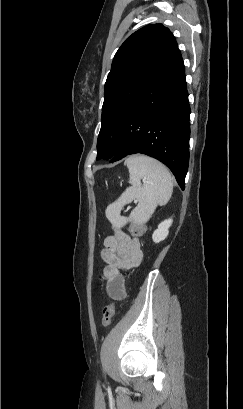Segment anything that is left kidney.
I'll return each instance as SVG.
<instances>
[{"instance_id": "1", "label": "left kidney", "mask_w": 243, "mask_h": 409, "mask_svg": "<svg viewBox=\"0 0 243 409\" xmlns=\"http://www.w3.org/2000/svg\"><path fill=\"white\" fill-rule=\"evenodd\" d=\"M173 220L167 219L158 225V228L153 232L152 239L155 243H159L164 240L169 234V227L172 225Z\"/></svg>"}]
</instances>
